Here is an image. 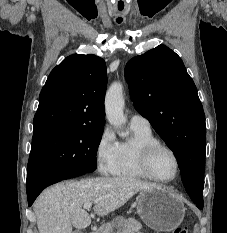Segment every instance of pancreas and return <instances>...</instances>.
<instances>
[{
	"label": "pancreas",
	"instance_id": "pancreas-1",
	"mask_svg": "<svg viewBox=\"0 0 227 233\" xmlns=\"http://www.w3.org/2000/svg\"><path fill=\"white\" fill-rule=\"evenodd\" d=\"M117 231L113 232L110 230L108 233H137L141 228L142 225L140 222L135 220L134 218H128L122 220L117 226ZM105 233V232H100Z\"/></svg>",
	"mask_w": 227,
	"mask_h": 233
}]
</instances>
